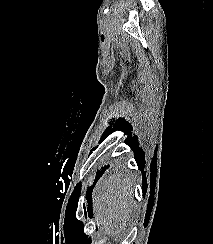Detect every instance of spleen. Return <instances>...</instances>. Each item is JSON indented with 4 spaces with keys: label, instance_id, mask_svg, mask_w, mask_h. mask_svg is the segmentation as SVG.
I'll return each mask as SVG.
<instances>
[{
    "label": "spleen",
    "instance_id": "1",
    "mask_svg": "<svg viewBox=\"0 0 213 244\" xmlns=\"http://www.w3.org/2000/svg\"><path fill=\"white\" fill-rule=\"evenodd\" d=\"M134 188L123 174L106 175L93 196V214L100 235L118 238L127 228L135 207Z\"/></svg>",
    "mask_w": 213,
    "mask_h": 244
}]
</instances>
